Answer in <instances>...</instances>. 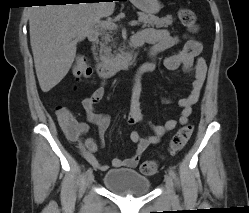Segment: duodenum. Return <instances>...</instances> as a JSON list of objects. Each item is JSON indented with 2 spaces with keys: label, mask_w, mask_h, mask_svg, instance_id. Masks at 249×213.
I'll return each instance as SVG.
<instances>
[{
  "label": "duodenum",
  "mask_w": 249,
  "mask_h": 213,
  "mask_svg": "<svg viewBox=\"0 0 249 213\" xmlns=\"http://www.w3.org/2000/svg\"><path fill=\"white\" fill-rule=\"evenodd\" d=\"M88 38L91 42L95 43L99 39V32L92 31L89 33ZM131 46H136V40L133 37L130 42ZM134 61L132 52H126L114 61L99 62L96 64V71L101 78H109L116 72L122 69L129 68Z\"/></svg>",
  "instance_id": "1"
}]
</instances>
